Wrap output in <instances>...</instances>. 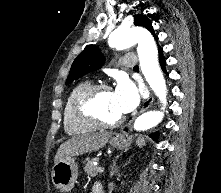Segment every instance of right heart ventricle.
Returning <instances> with one entry per match:
<instances>
[{"mask_svg": "<svg viewBox=\"0 0 221 193\" xmlns=\"http://www.w3.org/2000/svg\"><path fill=\"white\" fill-rule=\"evenodd\" d=\"M90 81H82L76 84L69 93L64 108V129L70 136H77L94 131L97 127L85 123L75 113L74 104L78 95L89 85Z\"/></svg>", "mask_w": 221, "mask_h": 193, "instance_id": "1", "label": "right heart ventricle"}]
</instances>
